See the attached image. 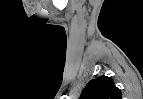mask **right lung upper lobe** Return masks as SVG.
<instances>
[{
  "mask_svg": "<svg viewBox=\"0 0 143 99\" xmlns=\"http://www.w3.org/2000/svg\"><path fill=\"white\" fill-rule=\"evenodd\" d=\"M80 99H121V91L110 77L100 76L86 85Z\"/></svg>",
  "mask_w": 143,
  "mask_h": 99,
  "instance_id": "obj_1",
  "label": "right lung upper lobe"
}]
</instances>
